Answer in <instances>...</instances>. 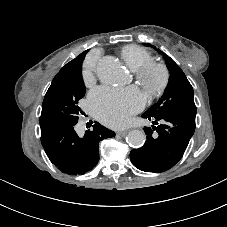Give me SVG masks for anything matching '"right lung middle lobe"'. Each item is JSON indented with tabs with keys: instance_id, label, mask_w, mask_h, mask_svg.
<instances>
[{
	"instance_id": "right-lung-middle-lobe-1",
	"label": "right lung middle lobe",
	"mask_w": 227,
	"mask_h": 227,
	"mask_svg": "<svg viewBox=\"0 0 227 227\" xmlns=\"http://www.w3.org/2000/svg\"><path fill=\"white\" fill-rule=\"evenodd\" d=\"M81 68L82 61L74 69L58 73L53 79L42 104L41 133L58 124L78 122L82 113L78 101L85 95Z\"/></svg>"
}]
</instances>
